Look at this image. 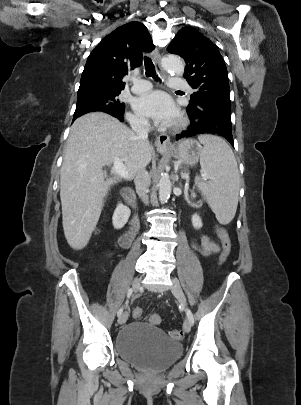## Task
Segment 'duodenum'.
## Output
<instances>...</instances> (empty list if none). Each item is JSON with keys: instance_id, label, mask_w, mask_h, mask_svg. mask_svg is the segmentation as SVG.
Masks as SVG:
<instances>
[{"instance_id": "1", "label": "duodenum", "mask_w": 301, "mask_h": 405, "mask_svg": "<svg viewBox=\"0 0 301 405\" xmlns=\"http://www.w3.org/2000/svg\"><path fill=\"white\" fill-rule=\"evenodd\" d=\"M121 194H122V197H123L124 201L126 202V204L130 208H134L135 207V196H134L133 192L130 189L125 188L122 190ZM136 226H137V221L133 218L129 223V229L121 238L122 244L124 246H128L130 244Z\"/></svg>"}]
</instances>
